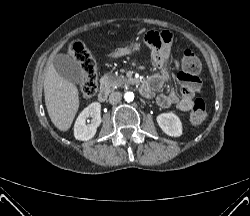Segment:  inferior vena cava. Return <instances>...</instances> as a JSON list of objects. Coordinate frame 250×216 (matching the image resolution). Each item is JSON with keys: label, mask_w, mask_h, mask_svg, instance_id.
I'll return each mask as SVG.
<instances>
[{"label": "inferior vena cava", "mask_w": 250, "mask_h": 216, "mask_svg": "<svg viewBox=\"0 0 250 216\" xmlns=\"http://www.w3.org/2000/svg\"><path fill=\"white\" fill-rule=\"evenodd\" d=\"M121 99H122V94L120 92H113L109 96V103L114 105L119 103Z\"/></svg>", "instance_id": "1"}]
</instances>
